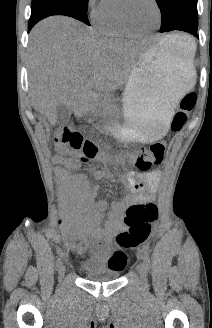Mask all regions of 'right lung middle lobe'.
Returning a JSON list of instances; mask_svg holds the SVG:
<instances>
[{
  "label": "right lung middle lobe",
  "mask_w": 212,
  "mask_h": 328,
  "mask_svg": "<svg viewBox=\"0 0 212 328\" xmlns=\"http://www.w3.org/2000/svg\"><path fill=\"white\" fill-rule=\"evenodd\" d=\"M39 5L68 8L78 15L80 21L90 25L87 17L88 0H32L31 8Z\"/></svg>",
  "instance_id": "obj_1"
}]
</instances>
